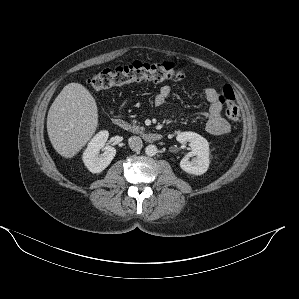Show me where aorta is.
Returning <instances> with one entry per match:
<instances>
[{"instance_id": "obj_1", "label": "aorta", "mask_w": 299, "mask_h": 299, "mask_svg": "<svg viewBox=\"0 0 299 299\" xmlns=\"http://www.w3.org/2000/svg\"><path fill=\"white\" fill-rule=\"evenodd\" d=\"M145 153L146 155L148 156H154L158 153V149L155 145H148L146 148H145Z\"/></svg>"}]
</instances>
